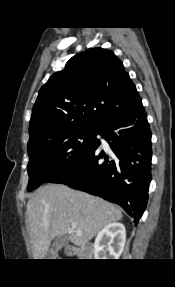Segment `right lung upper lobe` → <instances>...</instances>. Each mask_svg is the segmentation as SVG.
Segmentation results:
<instances>
[{
    "label": "right lung upper lobe",
    "instance_id": "right-lung-upper-lobe-1",
    "mask_svg": "<svg viewBox=\"0 0 175 287\" xmlns=\"http://www.w3.org/2000/svg\"><path fill=\"white\" fill-rule=\"evenodd\" d=\"M141 102L112 51L91 48L72 57L40 89L30 120L29 143L85 125L101 126Z\"/></svg>",
    "mask_w": 175,
    "mask_h": 287
}]
</instances>
